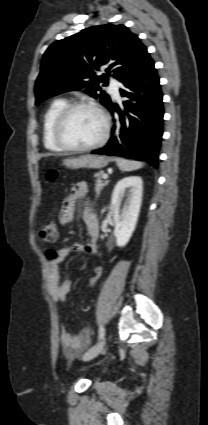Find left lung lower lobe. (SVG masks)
I'll return each mask as SVG.
<instances>
[{
  "label": "left lung lower lobe",
  "instance_id": "left-lung-lower-lobe-1",
  "mask_svg": "<svg viewBox=\"0 0 208 425\" xmlns=\"http://www.w3.org/2000/svg\"><path fill=\"white\" fill-rule=\"evenodd\" d=\"M128 97L124 110L111 104L108 110L117 111L120 119L112 129L108 144L93 150L94 154L120 156L149 162L158 167V152L163 134V102L159 77L148 52L138 67L121 81Z\"/></svg>",
  "mask_w": 208,
  "mask_h": 425
}]
</instances>
